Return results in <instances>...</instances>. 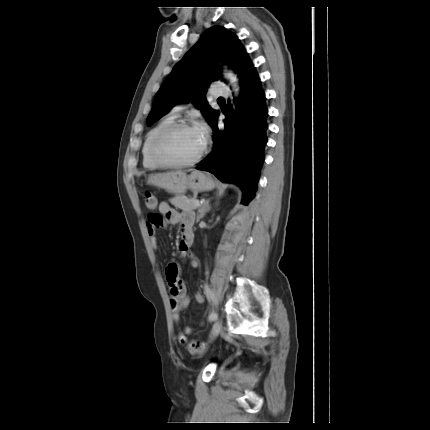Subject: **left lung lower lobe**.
<instances>
[{"label":"left lung lower lobe","instance_id":"left-lung-lower-lobe-1","mask_svg":"<svg viewBox=\"0 0 430 430\" xmlns=\"http://www.w3.org/2000/svg\"><path fill=\"white\" fill-rule=\"evenodd\" d=\"M242 96L231 111L227 106L224 115L225 129L217 127V115L212 118L213 151L196 167L208 171L225 182L237 184L242 192V203L247 205L253 198L264 155L263 147L267 142L265 121L267 108L265 94L260 87L256 73L241 79Z\"/></svg>","mask_w":430,"mask_h":430}]
</instances>
